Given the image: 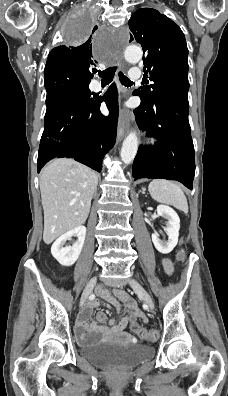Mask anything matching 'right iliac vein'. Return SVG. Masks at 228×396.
Returning a JSON list of instances; mask_svg holds the SVG:
<instances>
[{"mask_svg": "<svg viewBox=\"0 0 228 396\" xmlns=\"http://www.w3.org/2000/svg\"><path fill=\"white\" fill-rule=\"evenodd\" d=\"M96 282H97V277L95 276V277H92L89 280V282L86 284L85 289H84V291L81 295V298H80V307H82L85 304L87 297L92 292L93 287L95 286Z\"/></svg>", "mask_w": 228, "mask_h": 396, "instance_id": "63e3f726", "label": "right iliac vein"}]
</instances>
